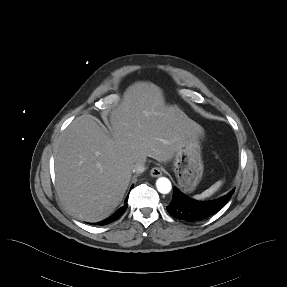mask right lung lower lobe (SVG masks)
<instances>
[{"mask_svg": "<svg viewBox=\"0 0 287 287\" xmlns=\"http://www.w3.org/2000/svg\"><path fill=\"white\" fill-rule=\"evenodd\" d=\"M127 199L128 198H126V200L124 202L125 204L121 208H119L113 215H111L110 217L106 218L105 220H103L97 224L98 225H107L109 223H112V222L118 220L124 214V212L127 209V206H128V204H126Z\"/></svg>", "mask_w": 287, "mask_h": 287, "instance_id": "obj_1", "label": "right lung lower lobe"}]
</instances>
